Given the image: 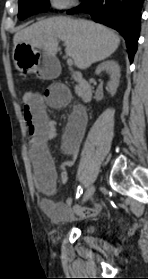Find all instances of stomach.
<instances>
[{
  "instance_id": "1",
  "label": "stomach",
  "mask_w": 148,
  "mask_h": 279,
  "mask_svg": "<svg viewBox=\"0 0 148 279\" xmlns=\"http://www.w3.org/2000/svg\"><path fill=\"white\" fill-rule=\"evenodd\" d=\"M17 69L24 75L45 78L49 81L59 73V62L55 57L25 43L18 44L13 53Z\"/></svg>"
}]
</instances>
